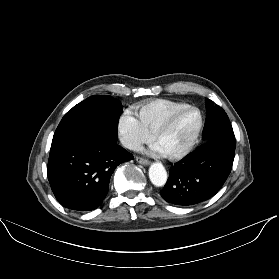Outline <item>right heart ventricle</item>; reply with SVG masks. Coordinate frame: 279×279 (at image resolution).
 <instances>
[{"label": "right heart ventricle", "instance_id": "e07e8e85", "mask_svg": "<svg viewBox=\"0 0 279 279\" xmlns=\"http://www.w3.org/2000/svg\"><path fill=\"white\" fill-rule=\"evenodd\" d=\"M186 105L188 104L169 99H154L135 105L134 110L144 128L154 135L170 114Z\"/></svg>", "mask_w": 279, "mask_h": 279}]
</instances>
